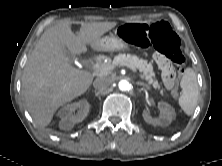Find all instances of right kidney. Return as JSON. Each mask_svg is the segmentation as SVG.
Instances as JSON below:
<instances>
[{
  "instance_id": "1",
  "label": "right kidney",
  "mask_w": 222,
  "mask_h": 166,
  "mask_svg": "<svg viewBox=\"0 0 222 166\" xmlns=\"http://www.w3.org/2000/svg\"><path fill=\"white\" fill-rule=\"evenodd\" d=\"M89 109L90 104L87 100H80L63 106L57 113L61 118L59 122L60 129L65 131L71 130L76 123L82 122L85 119Z\"/></svg>"
}]
</instances>
